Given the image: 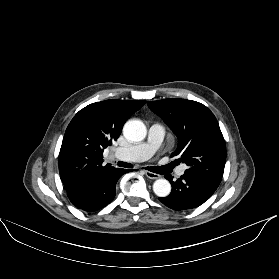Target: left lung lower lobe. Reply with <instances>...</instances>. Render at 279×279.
<instances>
[{
    "label": "left lung lower lobe",
    "mask_w": 279,
    "mask_h": 279,
    "mask_svg": "<svg viewBox=\"0 0 279 279\" xmlns=\"http://www.w3.org/2000/svg\"><path fill=\"white\" fill-rule=\"evenodd\" d=\"M165 178L170 181L172 191L167 197L159 198V200L173 210L198 207L208 200L217 189L204 180L186 173L176 181L172 180L171 175H165Z\"/></svg>",
    "instance_id": "1"
}]
</instances>
